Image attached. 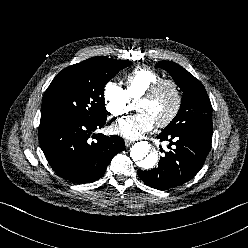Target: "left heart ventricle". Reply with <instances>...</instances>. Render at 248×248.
<instances>
[{
    "instance_id": "b2bd125f",
    "label": "left heart ventricle",
    "mask_w": 248,
    "mask_h": 248,
    "mask_svg": "<svg viewBox=\"0 0 248 248\" xmlns=\"http://www.w3.org/2000/svg\"><path fill=\"white\" fill-rule=\"evenodd\" d=\"M175 100L172 87L166 85L154 98L138 102L137 110L147 113L156 124L170 114L175 105Z\"/></svg>"
}]
</instances>
